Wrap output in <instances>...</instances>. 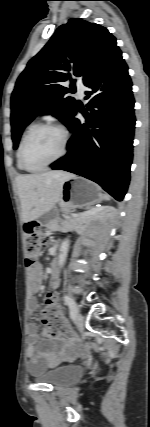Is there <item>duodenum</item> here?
I'll return each mask as SVG.
<instances>
[{
  "instance_id": "duodenum-1",
  "label": "duodenum",
  "mask_w": 150,
  "mask_h": 427,
  "mask_svg": "<svg viewBox=\"0 0 150 427\" xmlns=\"http://www.w3.org/2000/svg\"><path fill=\"white\" fill-rule=\"evenodd\" d=\"M52 266H53V269L55 270L56 267H57V261H54L53 264H52Z\"/></svg>"
}]
</instances>
